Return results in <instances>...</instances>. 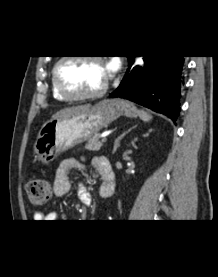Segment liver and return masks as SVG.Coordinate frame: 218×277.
<instances>
[{
  "mask_svg": "<svg viewBox=\"0 0 218 277\" xmlns=\"http://www.w3.org/2000/svg\"><path fill=\"white\" fill-rule=\"evenodd\" d=\"M91 106L89 104L87 105H81V106H76V107H69V108H64L60 111H58L56 114L52 116V119H61L69 116H73L76 114H79L86 109L90 108Z\"/></svg>",
  "mask_w": 218,
  "mask_h": 277,
  "instance_id": "1",
  "label": "liver"
}]
</instances>
